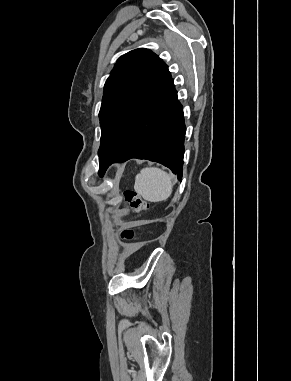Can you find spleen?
Listing matches in <instances>:
<instances>
[{"label":"spleen","mask_w":291,"mask_h":381,"mask_svg":"<svg viewBox=\"0 0 291 381\" xmlns=\"http://www.w3.org/2000/svg\"><path fill=\"white\" fill-rule=\"evenodd\" d=\"M134 189L147 201L167 200L172 193L171 176L159 168L146 167L136 176Z\"/></svg>","instance_id":"1"}]
</instances>
